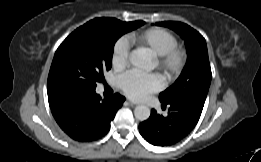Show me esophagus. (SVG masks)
Segmentation results:
<instances>
[{
    "label": "esophagus",
    "mask_w": 261,
    "mask_h": 162,
    "mask_svg": "<svg viewBox=\"0 0 261 162\" xmlns=\"http://www.w3.org/2000/svg\"><path fill=\"white\" fill-rule=\"evenodd\" d=\"M126 103L132 107L137 106V104H135L134 102L130 101V100H126Z\"/></svg>",
    "instance_id": "esophagus-1"
}]
</instances>
